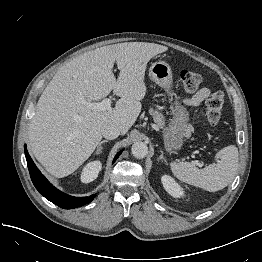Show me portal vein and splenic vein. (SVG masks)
<instances>
[{
	"label": "portal vein and splenic vein",
	"instance_id": "portal-vein-and-splenic-vein-1",
	"mask_svg": "<svg viewBox=\"0 0 262 262\" xmlns=\"http://www.w3.org/2000/svg\"><path fill=\"white\" fill-rule=\"evenodd\" d=\"M81 103L83 105H86L90 108L99 110V111H106V110H110L111 109V104L112 101L109 98H106L104 100H102L101 102H96V103H91V102H87L86 100H82ZM199 166H201V164H198Z\"/></svg>",
	"mask_w": 262,
	"mask_h": 262
}]
</instances>
